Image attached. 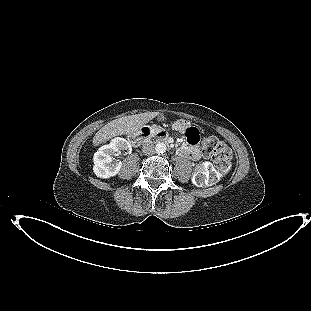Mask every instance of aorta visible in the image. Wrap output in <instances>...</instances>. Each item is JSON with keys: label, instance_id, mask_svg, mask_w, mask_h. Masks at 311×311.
Here are the masks:
<instances>
[{"label": "aorta", "instance_id": "obj_1", "mask_svg": "<svg viewBox=\"0 0 311 311\" xmlns=\"http://www.w3.org/2000/svg\"><path fill=\"white\" fill-rule=\"evenodd\" d=\"M166 149H167L166 144L163 142H159L155 145V150L157 153H164L166 152Z\"/></svg>", "mask_w": 311, "mask_h": 311}]
</instances>
